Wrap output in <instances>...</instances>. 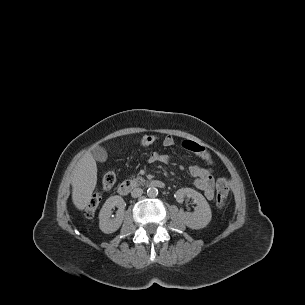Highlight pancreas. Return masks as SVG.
I'll list each match as a JSON object with an SVG mask.
<instances>
[{
    "instance_id": "1",
    "label": "pancreas",
    "mask_w": 305,
    "mask_h": 305,
    "mask_svg": "<svg viewBox=\"0 0 305 305\" xmlns=\"http://www.w3.org/2000/svg\"><path fill=\"white\" fill-rule=\"evenodd\" d=\"M131 181L133 184L139 185L142 182H144L145 180L141 176H137L136 178H133Z\"/></svg>"
}]
</instances>
